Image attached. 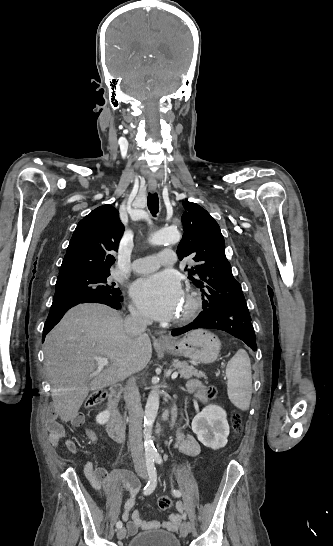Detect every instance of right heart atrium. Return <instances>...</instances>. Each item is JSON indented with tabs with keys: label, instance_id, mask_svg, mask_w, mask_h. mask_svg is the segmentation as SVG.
Segmentation results:
<instances>
[{
	"label": "right heart atrium",
	"instance_id": "1",
	"mask_svg": "<svg viewBox=\"0 0 333 546\" xmlns=\"http://www.w3.org/2000/svg\"><path fill=\"white\" fill-rule=\"evenodd\" d=\"M131 312H132L133 316L135 318H137V319H143L144 318L142 312L133 305L131 306Z\"/></svg>",
	"mask_w": 333,
	"mask_h": 546
}]
</instances>
